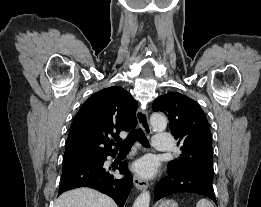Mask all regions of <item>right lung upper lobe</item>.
I'll list each match as a JSON object with an SVG mask.
<instances>
[{
    "label": "right lung upper lobe",
    "instance_id": "cb5924a9",
    "mask_svg": "<svg viewBox=\"0 0 261 207\" xmlns=\"http://www.w3.org/2000/svg\"><path fill=\"white\" fill-rule=\"evenodd\" d=\"M138 104L123 88L109 87L89 97L76 114L66 141L63 161L115 154L109 139L137 124Z\"/></svg>",
    "mask_w": 261,
    "mask_h": 207
}]
</instances>
